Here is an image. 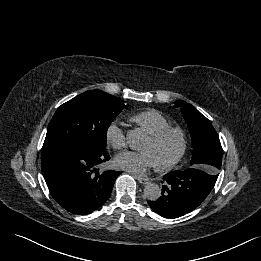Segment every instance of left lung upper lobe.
<instances>
[{
    "label": "left lung upper lobe",
    "instance_id": "left-lung-upper-lobe-1",
    "mask_svg": "<svg viewBox=\"0 0 261 261\" xmlns=\"http://www.w3.org/2000/svg\"><path fill=\"white\" fill-rule=\"evenodd\" d=\"M188 124L192 138L191 165H207L214 170L221 168L222 147L210 121L195 107L185 101L175 102Z\"/></svg>",
    "mask_w": 261,
    "mask_h": 261
}]
</instances>
